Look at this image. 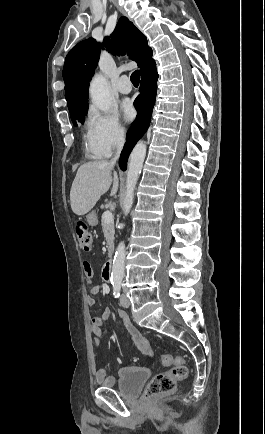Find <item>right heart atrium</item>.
<instances>
[{
    "label": "right heart atrium",
    "mask_w": 265,
    "mask_h": 434,
    "mask_svg": "<svg viewBox=\"0 0 265 434\" xmlns=\"http://www.w3.org/2000/svg\"><path fill=\"white\" fill-rule=\"evenodd\" d=\"M110 108L89 106V116L84 127L87 154L94 159H115L122 148L127 147L124 121L117 115L118 104L112 101Z\"/></svg>",
    "instance_id": "obj_1"
}]
</instances>
